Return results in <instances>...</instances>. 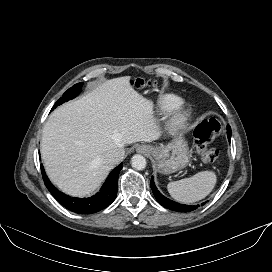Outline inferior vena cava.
Listing matches in <instances>:
<instances>
[{"instance_id": "inferior-vena-cava-1", "label": "inferior vena cava", "mask_w": 272, "mask_h": 272, "mask_svg": "<svg viewBox=\"0 0 272 272\" xmlns=\"http://www.w3.org/2000/svg\"><path fill=\"white\" fill-rule=\"evenodd\" d=\"M122 159V152L119 149H112L106 152L103 156V161L105 163L115 165Z\"/></svg>"}]
</instances>
